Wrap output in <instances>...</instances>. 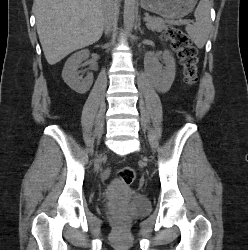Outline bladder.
Wrapping results in <instances>:
<instances>
[{"label":"bladder","instance_id":"bladder-1","mask_svg":"<svg viewBox=\"0 0 248 250\" xmlns=\"http://www.w3.org/2000/svg\"><path fill=\"white\" fill-rule=\"evenodd\" d=\"M148 199L139 193H130L125 199L123 213L128 216H141L149 211Z\"/></svg>","mask_w":248,"mask_h":250}]
</instances>
